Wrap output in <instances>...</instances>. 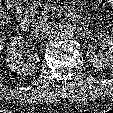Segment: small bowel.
<instances>
[{"label":"small bowel","instance_id":"1","mask_svg":"<svg viewBox=\"0 0 113 113\" xmlns=\"http://www.w3.org/2000/svg\"><path fill=\"white\" fill-rule=\"evenodd\" d=\"M109 4L112 6L113 8V0H108Z\"/></svg>","mask_w":113,"mask_h":113}]
</instances>
